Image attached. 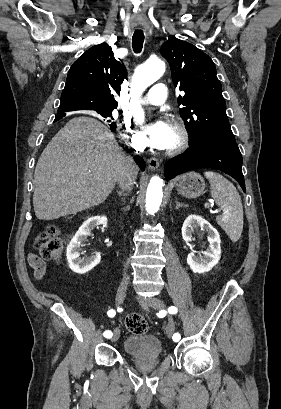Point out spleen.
<instances>
[{
	"mask_svg": "<svg viewBox=\"0 0 281 409\" xmlns=\"http://www.w3.org/2000/svg\"><path fill=\"white\" fill-rule=\"evenodd\" d=\"M211 184V194L216 200V205L221 207L222 215L216 221L223 231L227 233L232 243L239 241L243 231V205L241 196L234 184L225 176L213 170L204 172Z\"/></svg>",
	"mask_w": 281,
	"mask_h": 409,
	"instance_id": "1",
	"label": "spleen"
}]
</instances>
